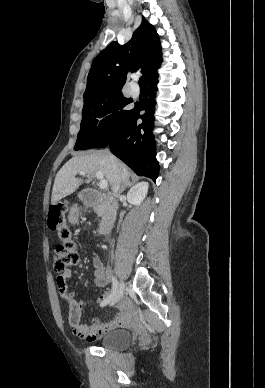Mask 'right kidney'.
<instances>
[{
    "label": "right kidney",
    "mask_w": 265,
    "mask_h": 388,
    "mask_svg": "<svg viewBox=\"0 0 265 388\" xmlns=\"http://www.w3.org/2000/svg\"><path fill=\"white\" fill-rule=\"evenodd\" d=\"M148 192V182H139L136 186H133L127 194V200L129 204L133 206H141L144 198H146Z\"/></svg>",
    "instance_id": "right-kidney-1"
}]
</instances>
